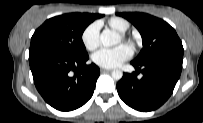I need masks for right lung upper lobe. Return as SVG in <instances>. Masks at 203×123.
<instances>
[{"instance_id": "1", "label": "right lung upper lobe", "mask_w": 203, "mask_h": 123, "mask_svg": "<svg viewBox=\"0 0 203 123\" xmlns=\"http://www.w3.org/2000/svg\"><path fill=\"white\" fill-rule=\"evenodd\" d=\"M88 15L90 16V18L93 19V21H94L95 19L100 18V17L103 16V15H100V14H88Z\"/></svg>"}]
</instances>
